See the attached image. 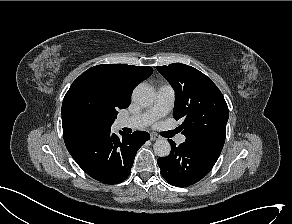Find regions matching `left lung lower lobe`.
I'll return each mask as SVG.
<instances>
[{
	"instance_id": "left-lung-lower-lobe-1",
	"label": "left lung lower lobe",
	"mask_w": 292,
	"mask_h": 224,
	"mask_svg": "<svg viewBox=\"0 0 292 224\" xmlns=\"http://www.w3.org/2000/svg\"><path fill=\"white\" fill-rule=\"evenodd\" d=\"M171 152L167 157L158 158L161 174L171 185L186 187L201 180L213 168L215 157L193 145L182 143L176 146L169 139Z\"/></svg>"
}]
</instances>
